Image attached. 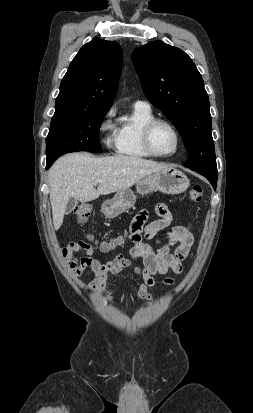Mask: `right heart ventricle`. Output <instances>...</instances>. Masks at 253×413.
I'll list each match as a JSON object with an SVG mask.
<instances>
[{
	"label": "right heart ventricle",
	"mask_w": 253,
	"mask_h": 413,
	"mask_svg": "<svg viewBox=\"0 0 253 413\" xmlns=\"http://www.w3.org/2000/svg\"><path fill=\"white\" fill-rule=\"evenodd\" d=\"M153 118L155 117L150 108L134 105L131 114L122 118L118 127L116 145L118 154L135 159L151 156L142 144V128Z\"/></svg>",
	"instance_id": "right-heart-ventricle-1"
}]
</instances>
